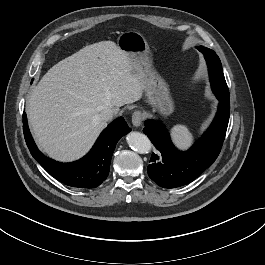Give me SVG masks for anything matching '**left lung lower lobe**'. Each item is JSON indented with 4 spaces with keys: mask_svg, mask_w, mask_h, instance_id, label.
<instances>
[{
    "mask_svg": "<svg viewBox=\"0 0 265 265\" xmlns=\"http://www.w3.org/2000/svg\"><path fill=\"white\" fill-rule=\"evenodd\" d=\"M216 97L220 103L212 124L186 152L175 148L168 131L160 122H145L143 131L159 150L152 154L151 164L148 165V175L157 185L163 188L186 185L214 163L223 145L230 116V100L220 94Z\"/></svg>",
    "mask_w": 265,
    "mask_h": 265,
    "instance_id": "0a47b994",
    "label": "left lung lower lobe"
}]
</instances>
